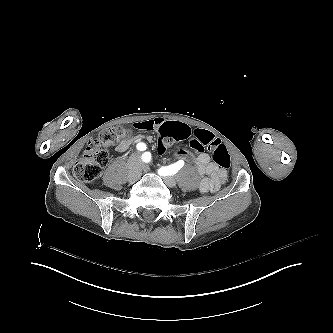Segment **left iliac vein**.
<instances>
[{
    "mask_svg": "<svg viewBox=\"0 0 333 333\" xmlns=\"http://www.w3.org/2000/svg\"><path fill=\"white\" fill-rule=\"evenodd\" d=\"M142 170H144L145 172H150V169L147 165H143L142 166ZM163 179V181L165 182V184L168 186V187H175L177 185V181L176 179L173 177V176H165V177H161Z\"/></svg>",
    "mask_w": 333,
    "mask_h": 333,
    "instance_id": "1",
    "label": "left iliac vein"
}]
</instances>
